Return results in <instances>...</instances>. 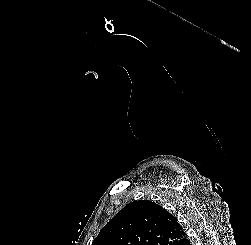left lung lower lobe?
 <instances>
[{
	"label": "left lung lower lobe",
	"instance_id": "0a47b994",
	"mask_svg": "<svg viewBox=\"0 0 251 245\" xmlns=\"http://www.w3.org/2000/svg\"><path fill=\"white\" fill-rule=\"evenodd\" d=\"M175 245H191V244H190V241L187 238V235H185V237L180 239Z\"/></svg>",
	"mask_w": 251,
	"mask_h": 245
}]
</instances>
